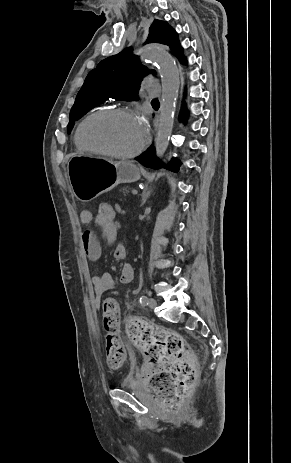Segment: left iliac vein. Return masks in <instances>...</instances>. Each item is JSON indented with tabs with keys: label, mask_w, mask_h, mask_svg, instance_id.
I'll return each instance as SVG.
<instances>
[{
	"label": "left iliac vein",
	"mask_w": 291,
	"mask_h": 463,
	"mask_svg": "<svg viewBox=\"0 0 291 463\" xmlns=\"http://www.w3.org/2000/svg\"><path fill=\"white\" fill-rule=\"evenodd\" d=\"M148 306L150 308H155L157 306V301L154 298H150L148 301Z\"/></svg>",
	"instance_id": "obj_1"
}]
</instances>
